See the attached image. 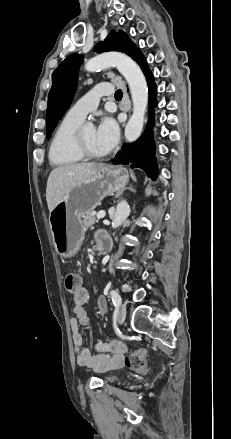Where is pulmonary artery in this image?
Returning <instances> with one entry per match:
<instances>
[{"label":"pulmonary artery","mask_w":231,"mask_h":439,"mask_svg":"<svg viewBox=\"0 0 231 439\" xmlns=\"http://www.w3.org/2000/svg\"><path fill=\"white\" fill-rule=\"evenodd\" d=\"M112 91L113 86L110 83L96 85L68 110L66 116L82 122L89 112L94 111L98 107L100 98L110 95Z\"/></svg>","instance_id":"1"}]
</instances>
